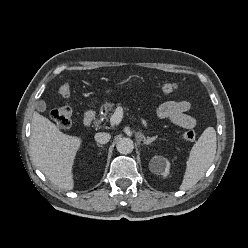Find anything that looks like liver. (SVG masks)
<instances>
[{
	"label": "liver",
	"mask_w": 248,
	"mask_h": 248,
	"mask_svg": "<svg viewBox=\"0 0 248 248\" xmlns=\"http://www.w3.org/2000/svg\"><path fill=\"white\" fill-rule=\"evenodd\" d=\"M81 144V137L64 134L49 119L33 113L30 154L38 169L57 187L73 189L72 167Z\"/></svg>",
	"instance_id": "obj_1"
}]
</instances>
